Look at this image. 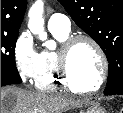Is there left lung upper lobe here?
Wrapping results in <instances>:
<instances>
[{"instance_id": "obj_1", "label": "left lung upper lobe", "mask_w": 123, "mask_h": 113, "mask_svg": "<svg viewBox=\"0 0 123 113\" xmlns=\"http://www.w3.org/2000/svg\"><path fill=\"white\" fill-rule=\"evenodd\" d=\"M109 62L106 95L123 94V0H58Z\"/></svg>"}]
</instances>
